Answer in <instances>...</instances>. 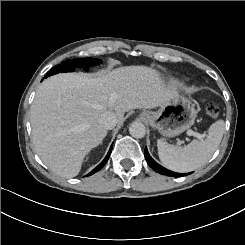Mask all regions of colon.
Segmentation results:
<instances>
[{"label":"colon","instance_id":"5ec220e1","mask_svg":"<svg viewBox=\"0 0 245 245\" xmlns=\"http://www.w3.org/2000/svg\"><path fill=\"white\" fill-rule=\"evenodd\" d=\"M206 112L208 116L215 118L219 114V107L215 102L210 101L206 106Z\"/></svg>","mask_w":245,"mask_h":245}]
</instances>
